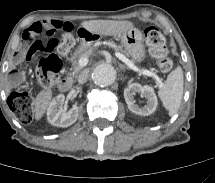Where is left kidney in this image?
Returning a JSON list of instances; mask_svg holds the SVG:
<instances>
[{"mask_svg":"<svg viewBox=\"0 0 215 183\" xmlns=\"http://www.w3.org/2000/svg\"><path fill=\"white\" fill-rule=\"evenodd\" d=\"M140 93L142 97L146 98L147 105L140 107L135 104L134 95ZM124 98L130 111L135 114L148 116L152 114L157 107V97L152 87L145 85L141 86L139 83H132L124 90Z\"/></svg>","mask_w":215,"mask_h":183,"instance_id":"5707ae66","label":"left kidney"}]
</instances>
